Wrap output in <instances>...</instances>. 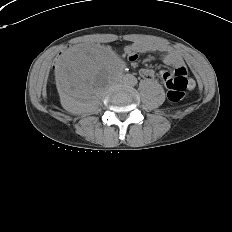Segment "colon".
<instances>
[{
  "instance_id": "obj_1",
  "label": "colon",
  "mask_w": 232,
  "mask_h": 232,
  "mask_svg": "<svg viewBox=\"0 0 232 232\" xmlns=\"http://www.w3.org/2000/svg\"><path fill=\"white\" fill-rule=\"evenodd\" d=\"M168 88V97L171 101L178 102L183 99L185 90L190 86V80L186 75L175 74L164 80Z\"/></svg>"
}]
</instances>
